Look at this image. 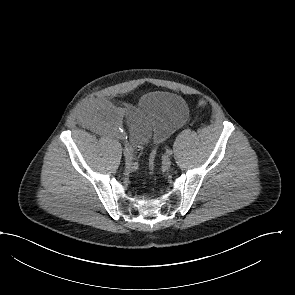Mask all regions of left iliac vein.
<instances>
[{
	"mask_svg": "<svg viewBox=\"0 0 295 295\" xmlns=\"http://www.w3.org/2000/svg\"><path fill=\"white\" fill-rule=\"evenodd\" d=\"M171 166V159L169 157L164 158L163 160V167L165 169H169Z\"/></svg>",
	"mask_w": 295,
	"mask_h": 295,
	"instance_id": "obj_1",
	"label": "left iliac vein"
}]
</instances>
